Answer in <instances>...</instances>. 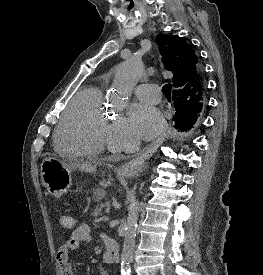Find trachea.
Returning a JSON list of instances; mask_svg holds the SVG:
<instances>
[{"label":"trachea","mask_w":263,"mask_h":275,"mask_svg":"<svg viewBox=\"0 0 263 275\" xmlns=\"http://www.w3.org/2000/svg\"><path fill=\"white\" fill-rule=\"evenodd\" d=\"M162 92L166 98H171V84H165L162 88Z\"/></svg>","instance_id":"3493384b"}]
</instances>
